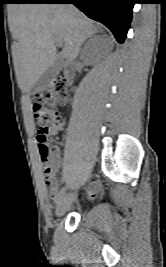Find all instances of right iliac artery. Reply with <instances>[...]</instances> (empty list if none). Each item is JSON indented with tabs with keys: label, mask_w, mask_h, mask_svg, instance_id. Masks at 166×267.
<instances>
[{
	"label": "right iliac artery",
	"mask_w": 166,
	"mask_h": 267,
	"mask_svg": "<svg viewBox=\"0 0 166 267\" xmlns=\"http://www.w3.org/2000/svg\"><path fill=\"white\" fill-rule=\"evenodd\" d=\"M65 193H66V187H63L60 192L58 193V196L56 197L55 199V203L58 204L62 198L65 196Z\"/></svg>",
	"instance_id": "1"
}]
</instances>
